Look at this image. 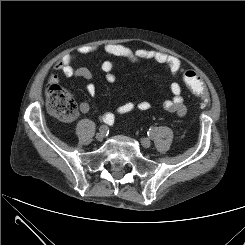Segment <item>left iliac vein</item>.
Returning <instances> with one entry per match:
<instances>
[{"instance_id": "left-iliac-vein-1", "label": "left iliac vein", "mask_w": 245, "mask_h": 245, "mask_svg": "<svg viewBox=\"0 0 245 245\" xmlns=\"http://www.w3.org/2000/svg\"><path fill=\"white\" fill-rule=\"evenodd\" d=\"M141 144L145 148H149L151 146V141L148 138H141Z\"/></svg>"}]
</instances>
